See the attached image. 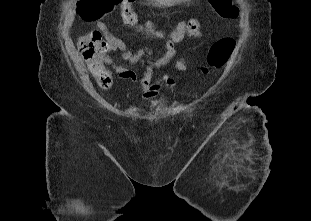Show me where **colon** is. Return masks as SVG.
I'll return each instance as SVG.
<instances>
[{"label":"colon","instance_id":"colon-1","mask_svg":"<svg viewBox=\"0 0 311 221\" xmlns=\"http://www.w3.org/2000/svg\"><path fill=\"white\" fill-rule=\"evenodd\" d=\"M212 2V0H209ZM85 5H79L78 22H93L95 17H109L110 12L116 16L120 10L123 11L124 25L134 29L137 25V13L133 8L134 0H82ZM213 9H220L221 19L233 20L238 16L239 2L234 0H214ZM186 33L191 38H199L202 35V26L198 19H190L186 23ZM235 39L231 36L218 40L209 50L207 65L202 66V72L208 73L210 68L222 67L235 50ZM77 48L87 61L88 69L93 79L101 88L109 87L112 83V75L108 64V55L111 47L108 39L102 37L98 30L87 32L77 42Z\"/></svg>","mask_w":311,"mask_h":221}]
</instances>
